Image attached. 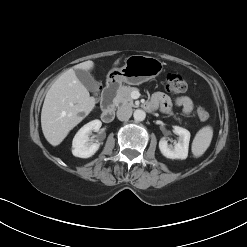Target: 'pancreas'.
Returning a JSON list of instances; mask_svg holds the SVG:
<instances>
[{
  "label": "pancreas",
  "instance_id": "obj_1",
  "mask_svg": "<svg viewBox=\"0 0 247 247\" xmlns=\"http://www.w3.org/2000/svg\"><path fill=\"white\" fill-rule=\"evenodd\" d=\"M137 90L135 87L130 86H122L117 90L116 97L114 102L116 105H127L130 107H135L133 99L131 97V93ZM181 121L180 118H176Z\"/></svg>",
  "mask_w": 247,
  "mask_h": 247
}]
</instances>
